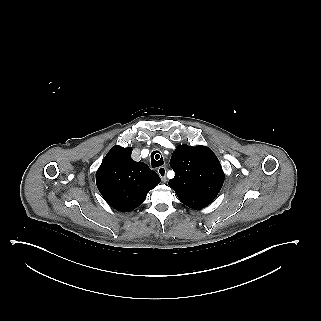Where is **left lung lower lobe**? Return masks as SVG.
Wrapping results in <instances>:
<instances>
[{
    "label": "left lung lower lobe",
    "instance_id": "1",
    "mask_svg": "<svg viewBox=\"0 0 321 321\" xmlns=\"http://www.w3.org/2000/svg\"><path fill=\"white\" fill-rule=\"evenodd\" d=\"M216 196L207 195V196H196V197H185L180 198L179 200L186 206L192 209H202L209 205Z\"/></svg>",
    "mask_w": 321,
    "mask_h": 321
}]
</instances>
